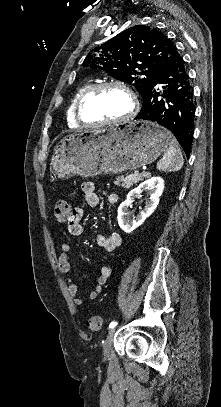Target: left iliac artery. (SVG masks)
<instances>
[{
  "mask_svg": "<svg viewBox=\"0 0 221 407\" xmlns=\"http://www.w3.org/2000/svg\"><path fill=\"white\" fill-rule=\"evenodd\" d=\"M117 325L116 321L110 323L109 328H114Z\"/></svg>",
  "mask_w": 221,
  "mask_h": 407,
  "instance_id": "left-iliac-artery-1",
  "label": "left iliac artery"
}]
</instances>
